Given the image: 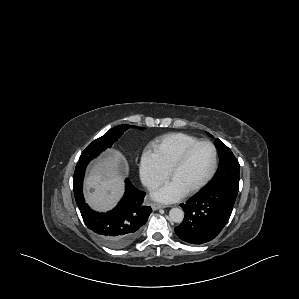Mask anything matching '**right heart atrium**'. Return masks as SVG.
Listing matches in <instances>:
<instances>
[{"label":"right heart atrium","mask_w":299,"mask_h":299,"mask_svg":"<svg viewBox=\"0 0 299 299\" xmlns=\"http://www.w3.org/2000/svg\"><path fill=\"white\" fill-rule=\"evenodd\" d=\"M139 174L142 183L148 188H154L167 180L169 172L161 165L156 155L145 150L139 162Z\"/></svg>","instance_id":"d8ad5b80"}]
</instances>
